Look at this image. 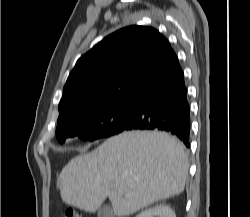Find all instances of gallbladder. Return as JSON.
Masks as SVG:
<instances>
[{
	"label": "gallbladder",
	"instance_id": "1",
	"mask_svg": "<svg viewBox=\"0 0 250 217\" xmlns=\"http://www.w3.org/2000/svg\"><path fill=\"white\" fill-rule=\"evenodd\" d=\"M98 217H114V212L110 205H104L98 210Z\"/></svg>",
	"mask_w": 250,
	"mask_h": 217
}]
</instances>
